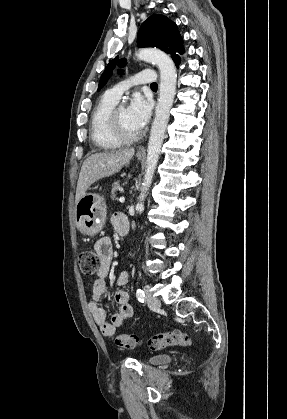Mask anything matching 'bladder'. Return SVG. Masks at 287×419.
Wrapping results in <instances>:
<instances>
[{"label": "bladder", "mask_w": 287, "mask_h": 419, "mask_svg": "<svg viewBox=\"0 0 287 419\" xmlns=\"http://www.w3.org/2000/svg\"><path fill=\"white\" fill-rule=\"evenodd\" d=\"M149 361L153 364H166L171 361V357L166 354L154 355L149 358Z\"/></svg>", "instance_id": "1"}]
</instances>
